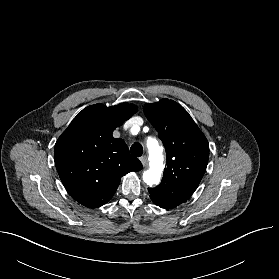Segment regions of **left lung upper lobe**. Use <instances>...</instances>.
Masks as SVG:
<instances>
[{
	"instance_id": "obj_1",
	"label": "left lung upper lobe",
	"mask_w": 279,
	"mask_h": 279,
	"mask_svg": "<svg viewBox=\"0 0 279 279\" xmlns=\"http://www.w3.org/2000/svg\"><path fill=\"white\" fill-rule=\"evenodd\" d=\"M144 112L158 131L167 154L162 182L149 188L152 200L181 204L197 189L208 164L209 143L187 111L162 99Z\"/></svg>"
}]
</instances>
